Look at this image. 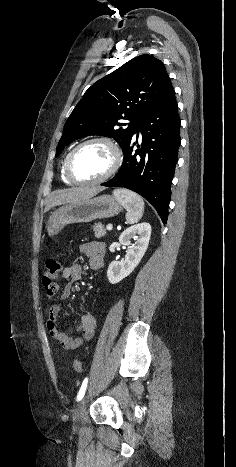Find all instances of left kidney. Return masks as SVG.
Wrapping results in <instances>:
<instances>
[{"label": "left kidney", "instance_id": "5707ae66", "mask_svg": "<svg viewBox=\"0 0 236 467\" xmlns=\"http://www.w3.org/2000/svg\"><path fill=\"white\" fill-rule=\"evenodd\" d=\"M150 235L151 226L147 222L131 226L120 235V244L127 246L126 256L122 261L109 264L107 278L111 284L119 283L137 267L148 248ZM131 239L137 242L131 244Z\"/></svg>", "mask_w": 236, "mask_h": 467}]
</instances>
